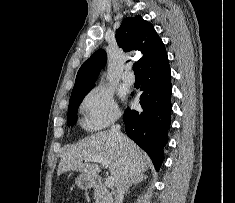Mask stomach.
<instances>
[{
    "label": "stomach",
    "mask_w": 235,
    "mask_h": 203,
    "mask_svg": "<svg viewBox=\"0 0 235 203\" xmlns=\"http://www.w3.org/2000/svg\"><path fill=\"white\" fill-rule=\"evenodd\" d=\"M75 183L78 186V188L82 190H87L96 185V177L82 173L79 176H77Z\"/></svg>",
    "instance_id": "obj_1"
}]
</instances>
